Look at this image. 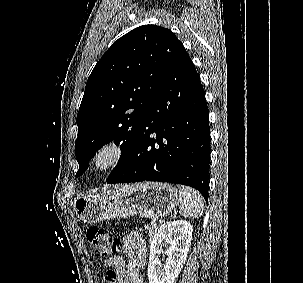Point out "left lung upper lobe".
Masks as SVG:
<instances>
[{
  "label": "left lung upper lobe",
  "mask_w": 303,
  "mask_h": 283,
  "mask_svg": "<svg viewBox=\"0 0 303 283\" xmlns=\"http://www.w3.org/2000/svg\"><path fill=\"white\" fill-rule=\"evenodd\" d=\"M184 49L171 30L139 26L115 41L90 74L77 114L76 177L98 149L115 141L122 155L107 181L131 155L146 110L171 65Z\"/></svg>",
  "instance_id": "obj_1"
}]
</instances>
